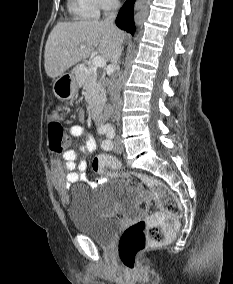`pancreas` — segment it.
Segmentation results:
<instances>
[{"label":"pancreas","instance_id":"pancreas-1","mask_svg":"<svg viewBox=\"0 0 233 284\" xmlns=\"http://www.w3.org/2000/svg\"><path fill=\"white\" fill-rule=\"evenodd\" d=\"M75 72L86 91L85 99L89 106L92 108L103 106L106 102V91L101 79L98 80L97 71L94 67L81 65L75 69Z\"/></svg>","mask_w":233,"mask_h":284}]
</instances>
